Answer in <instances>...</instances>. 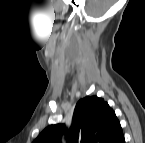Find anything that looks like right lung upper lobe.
<instances>
[{"mask_svg":"<svg viewBox=\"0 0 145 143\" xmlns=\"http://www.w3.org/2000/svg\"><path fill=\"white\" fill-rule=\"evenodd\" d=\"M67 135V143H124L120 123L107 102L97 96L81 99L75 107L72 125H50L34 143H61V135Z\"/></svg>","mask_w":145,"mask_h":143,"instance_id":"obj_1","label":"right lung upper lobe"}]
</instances>
